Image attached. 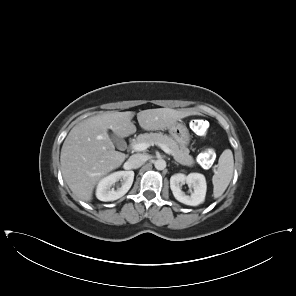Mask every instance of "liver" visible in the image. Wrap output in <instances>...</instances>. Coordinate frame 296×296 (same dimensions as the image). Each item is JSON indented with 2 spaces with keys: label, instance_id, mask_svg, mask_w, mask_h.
I'll use <instances>...</instances> for the list:
<instances>
[{
  "label": "liver",
  "instance_id": "obj_1",
  "mask_svg": "<svg viewBox=\"0 0 296 296\" xmlns=\"http://www.w3.org/2000/svg\"><path fill=\"white\" fill-rule=\"evenodd\" d=\"M195 114L188 109H147L137 113V120L144 130H164L179 119ZM133 116L132 111L105 112L83 120L71 129L61 149L60 163L63 178L76 199L91 201L97 182L122 165L126 155L115 151L108 130L121 138L134 134Z\"/></svg>",
  "mask_w": 296,
  "mask_h": 296
}]
</instances>
